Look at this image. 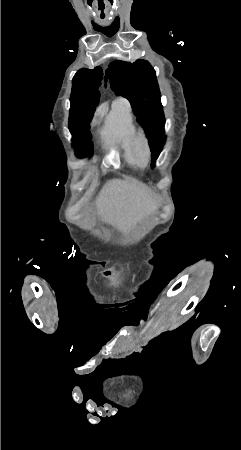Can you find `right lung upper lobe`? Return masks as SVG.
<instances>
[{"instance_id": "cb5924a9", "label": "right lung upper lobe", "mask_w": 241, "mask_h": 450, "mask_svg": "<svg viewBox=\"0 0 241 450\" xmlns=\"http://www.w3.org/2000/svg\"><path fill=\"white\" fill-rule=\"evenodd\" d=\"M79 72H87V73H90V74H93V75H95V76H97V77H100L101 79H102V76H103V72H102V69H101V67H96V68H94L93 70H89V69H81V70H79L77 73H79Z\"/></svg>"}]
</instances>
